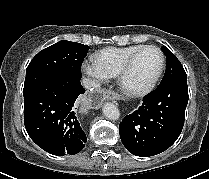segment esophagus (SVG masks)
<instances>
[{
	"mask_svg": "<svg viewBox=\"0 0 209 179\" xmlns=\"http://www.w3.org/2000/svg\"><path fill=\"white\" fill-rule=\"evenodd\" d=\"M118 97V90L115 87L97 88L87 93L77 101V108L81 112H88L91 108L101 107L106 100H115Z\"/></svg>",
	"mask_w": 209,
	"mask_h": 179,
	"instance_id": "1",
	"label": "esophagus"
}]
</instances>
